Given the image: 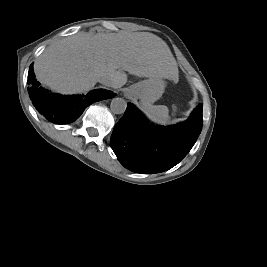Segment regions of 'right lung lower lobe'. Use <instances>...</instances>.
<instances>
[{
  "label": "right lung lower lobe",
  "instance_id": "obj_1",
  "mask_svg": "<svg viewBox=\"0 0 267 267\" xmlns=\"http://www.w3.org/2000/svg\"><path fill=\"white\" fill-rule=\"evenodd\" d=\"M28 93L36 110L48 121L67 124L78 119L83 111L94 102L110 99L116 94L108 90H94L87 95H60L52 93L35 79L33 65L28 73Z\"/></svg>",
  "mask_w": 267,
  "mask_h": 267
}]
</instances>
